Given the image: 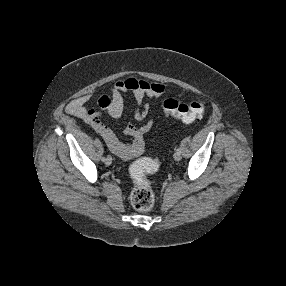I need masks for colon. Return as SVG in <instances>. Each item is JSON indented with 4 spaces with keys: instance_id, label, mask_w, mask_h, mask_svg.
Listing matches in <instances>:
<instances>
[{
    "instance_id": "colon-1",
    "label": "colon",
    "mask_w": 286,
    "mask_h": 286,
    "mask_svg": "<svg viewBox=\"0 0 286 286\" xmlns=\"http://www.w3.org/2000/svg\"><path fill=\"white\" fill-rule=\"evenodd\" d=\"M162 109L164 114L189 123L202 116L205 104L202 101L180 103L168 99L163 102ZM157 169V161L150 158H141L132 167L134 189L131 193V202L134 208L140 212H148L154 206L155 195L146 175L155 172Z\"/></svg>"
}]
</instances>
